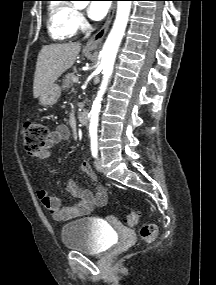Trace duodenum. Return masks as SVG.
<instances>
[{
  "label": "duodenum",
  "mask_w": 216,
  "mask_h": 285,
  "mask_svg": "<svg viewBox=\"0 0 216 285\" xmlns=\"http://www.w3.org/2000/svg\"><path fill=\"white\" fill-rule=\"evenodd\" d=\"M78 121L80 122V124L82 125H87L88 121H89V114L87 111L85 110H81L78 113Z\"/></svg>",
  "instance_id": "410a0bca"
}]
</instances>
